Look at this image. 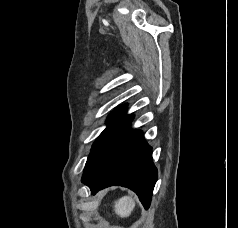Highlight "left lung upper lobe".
<instances>
[{"mask_svg":"<svg viewBox=\"0 0 238 228\" xmlns=\"http://www.w3.org/2000/svg\"><path fill=\"white\" fill-rule=\"evenodd\" d=\"M125 111L126 107L122 106L109 115L107 128L93 144L91 153L87 159L83 177L90 176L96 170L117 133L132 118V115H125Z\"/></svg>","mask_w":238,"mask_h":228,"instance_id":"left-lung-upper-lobe-1","label":"left lung upper lobe"}]
</instances>
